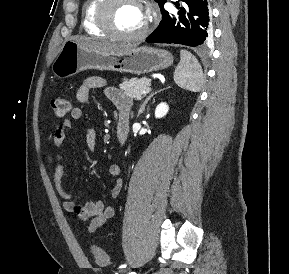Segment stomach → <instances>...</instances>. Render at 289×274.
<instances>
[{
  "label": "stomach",
  "mask_w": 289,
  "mask_h": 274,
  "mask_svg": "<svg viewBox=\"0 0 289 274\" xmlns=\"http://www.w3.org/2000/svg\"><path fill=\"white\" fill-rule=\"evenodd\" d=\"M173 63V56L163 49L136 47L122 53H105L65 41L52 64L55 77L64 79L88 69L126 72L136 75L165 69Z\"/></svg>",
  "instance_id": "0dacf381"
}]
</instances>
